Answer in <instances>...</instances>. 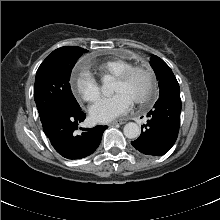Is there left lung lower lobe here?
Returning <instances> with one entry per match:
<instances>
[{
	"mask_svg": "<svg viewBox=\"0 0 220 220\" xmlns=\"http://www.w3.org/2000/svg\"><path fill=\"white\" fill-rule=\"evenodd\" d=\"M180 94L159 97L147 114L149 120L142 126L141 135L131 144L146 155L161 156L175 143L180 126Z\"/></svg>",
	"mask_w": 220,
	"mask_h": 220,
	"instance_id": "0a47b994",
	"label": "left lung lower lobe"
}]
</instances>
